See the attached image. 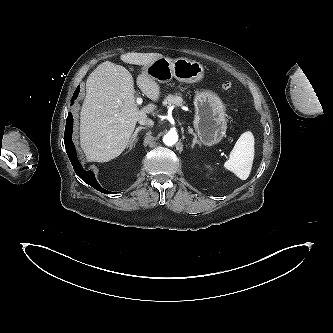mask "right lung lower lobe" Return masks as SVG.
Here are the masks:
<instances>
[{"label": "right lung lower lobe", "mask_w": 333, "mask_h": 333, "mask_svg": "<svg viewBox=\"0 0 333 333\" xmlns=\"http://www.w3.org/2000/svg\"><path fill=\"white\" fill-rule=\"evenodd\" d=\"M80 91V87L76 89V91L73 94L72 100H71V105L74 103V100L76 99L78 93ZM72 132H73V117L71 112L68 113V117L66 120V127H65V133H64V143H65V148L68 154V157L72 163V166L74 168L75 173L87 184L95 188L96 190L105 193V194H113L110 191H107L103 189L101 186L98 185V182L96 181L95 175L92 171H86L83 169L81 166L76 150L72 141Z\"/></svg>", "instance_id": "98d812e1"}]
</instances>
